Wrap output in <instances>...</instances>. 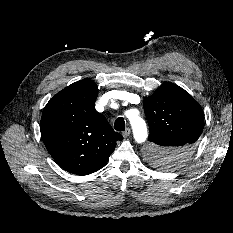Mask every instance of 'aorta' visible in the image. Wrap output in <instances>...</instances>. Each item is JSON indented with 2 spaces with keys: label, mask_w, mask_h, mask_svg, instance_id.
I'll return each instance as SVG.
<instances>
[{
  "label": "aorta",
  "mask_w": 233,
  "mask_h": 233,
  "mask_svg": "<svg viewBox=\"0 0 233 233\" xmlns=\"http://www.w3.org/2000/svg\"><path fill=\"white\" fill-rule=\"evenodd\" d=\"M128 117L133 129V134L136 142H145L147 137V126L145 121L139 116H133L131 113H128Z\"/></svg>",
  "instance_id": "1"
}]
</instances>
